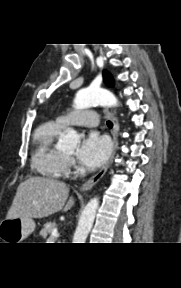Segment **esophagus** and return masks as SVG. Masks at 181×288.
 <instances>
[{"mask_svg": "<svg viewBox=\"0 0 181 288\" xmlns=\"http://www.w3.org/2000/svg\"><path fill=\"white\" fill-rule=\"evenodd\" d=\"M105 115L112 121L113 123V129H112V135H113V152L110 157V159L102 166V168L94 175L92 176L86 183H84L81 187V191L86 192L90 190L106 173L110 162L112 161L115 151H116V141L118 138V132H119V123L117 118L112 114L108 109L103 110Z\"/></svg>", "mask_w": 181, "mask_h": 288, "instance_id": "1", "label": "esophagus"}]
</instances>
